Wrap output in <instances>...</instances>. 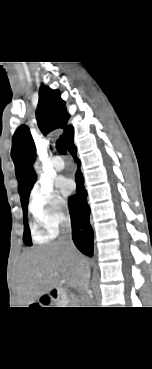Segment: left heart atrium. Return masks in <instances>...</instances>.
<instances>
[{"label":"left heart atrium","instance_id":"1","mask_svg":"<svg viewBox=\"0 0 152 369\" xmlns=\"http://www.w3.org/2000/svg\"><path fill=\"white\" fill-rule=\"evenodd\" d=\"M57 187L65 196L69 195L73 189L72 182L65 177H61L57 180Z\"/></svg>","mask_w":152,"mask_h":369}]
</instances>
